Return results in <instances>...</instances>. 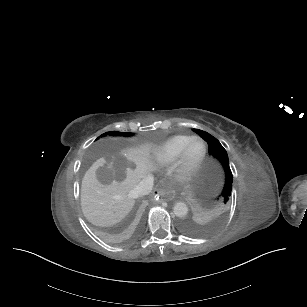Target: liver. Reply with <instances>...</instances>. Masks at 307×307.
Instances as JSON below:
<instances>
[{
	"instance_id": "liver-1",
	"label": "liver",
	"mask_w": 307,
	"mask_h": 307,
	"mask_svg": "<svg viewBox=\"0 0 307 307\" xmlns=\"http://www.w3.org/2000/svg\"><path fill=\"white\" fill-rule=\"evenodd\" d=\"M152 145L118 150L95 161L81 185V207L85 218L96 226L120 222L132 210V190L152 170Z\"/></svg>"
}]
</instances>
